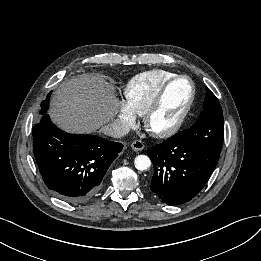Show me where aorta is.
<instances>
[{"mask_svg":"<svg viewBox=\"0 0 261 261\" xmlns=\"http://www.w3.org/2000/svg\"><path fill=\"white\" fill-rule=\"evenodd\" d=\"M136 169L140 171L147 170L151 166V161L146 155H138L134 161Z\"/></svg>","mask_w":261,"mask_h":261,"instance_id":"obj_1","label":"aorta"}]
</instances>
